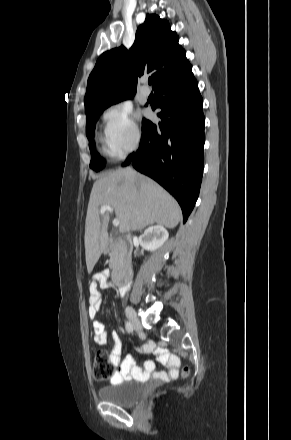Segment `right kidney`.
<instances>
[{
	"label": "right kidney",
	"mask_w": 291,
	"mask_h": 440,
	"mask_svg": "<svg viewBox=\"0 0 291 440\" xmlns=\"http://www.w3.org/2000/svg\"><path fill=\"white\" fill-rule=\"evenodd\" d=\"M168 237V231L162 225H155L147 228L139 237V241L148 251H155L167 241Z\"/></svg>",
	"instance_id": "1"
}]
</instances>
